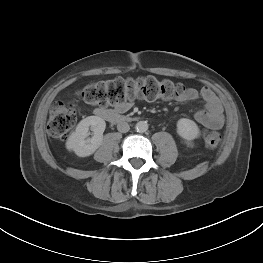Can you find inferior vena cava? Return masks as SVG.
<instances>
[{
  "mask_svg": "<svg viewBox=\"0 0 263 263\" xmlns=\"http://www.w3.org/2000/svg\"><path fill=\"white\" fill-rule=\"evenodd\" d=\"M130 129V126L127 122L121 121L117 124V130L121 133H126Z\"/></svg>",
  "mask_w": 263,
  "mask_h": 263,
  "instance_id": "inferior-vena-cava-1",
  "label": "inferior vena cava"
}]
</instances>
